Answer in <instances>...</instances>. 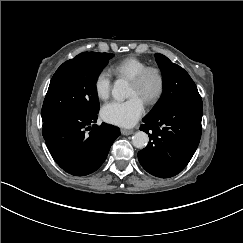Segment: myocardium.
Returning a JSON list of instances; mask_svg holds the SVG:
<instances>
[{"label": "myocardium", "instance_id": "obj_1", "mask_svg": "<svg viewBox=\"0 0 243 243\" xmlns=\"http://www.w3.org/2000/svg\"><path fill=\"white\" fill-rule=\"evenodd\" d=\"M151 72L157 73L160 84L157 93L153 97L146 100V103L148 105H154L158 103L165 95L166 88H167V78L164 70L157 65H147L140 72H138L137 75H135L133 78L130 79L131 83H133L136 86H139L144 82L146 77Z\"/></svg>", "mask_w": 243, "mask_h": 243}]
</instances>
